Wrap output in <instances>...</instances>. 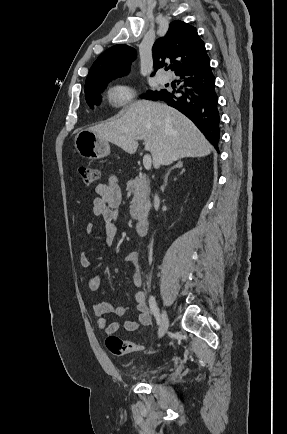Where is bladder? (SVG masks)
<instances>
[{"mask_svg": "<svg viewBox=\"0 0 287 434\" xmlns=\"http://www.w3.org/2000/svg\"><path fill=\"white\" fill-rule=\"evenodd\" d=\"M159 373L160 371L158 369L142 370L138 372L136 376L142 379L151 380L154 379Z\"/></svg>", "mask_w": 287, "mask_h": 434, "instance_id": "obj_1", "label": "bladder"}]
</instances>
